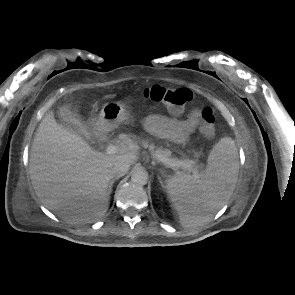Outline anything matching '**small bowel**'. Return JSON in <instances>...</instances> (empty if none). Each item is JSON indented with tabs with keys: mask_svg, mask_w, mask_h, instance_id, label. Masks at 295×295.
Instances as JSON below:
<instances>
[{
	"mask_svg": "<svg viewBox=\"0 0 295 295\" xmlns=\"http://www.w3.org/2000/svg\"><path fill=\"white\" fill-rule=\"evenodd\" d=\"M199 111H192L187 118H168L162 115H151L146 119V127L153 134L173 142H183L194 131Z\"/></svg>",
	"mask_w": 295,
	"mask_h": 295,
	"instance_id": "c3829d8e",
	"label": "small bowel"
}]
</instances>
